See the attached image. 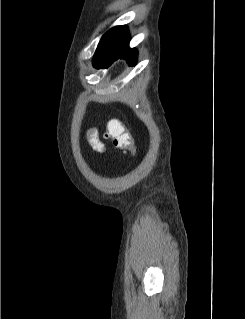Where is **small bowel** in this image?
Returning a JSON list of instances; mask_svg holds the SVG:
<instances>
[{
    "mask_svg": "<svg viewBox=\"0 0 245 319\" xmlns=\"http://www.w3.org/2000/svg\"><path fill=\"white\" fill-rule=\"evenodd\" d=\"M87 139L89 141V144L94 150L98 152H104L105 150L104 144L101 142L98 132L96 130L88 131Z\"/></svg>",
    "mask_w": 245,
    "mask_h": 319,
    "instance_id": "1",
    "label": "small bowel"
}]
</instances>
